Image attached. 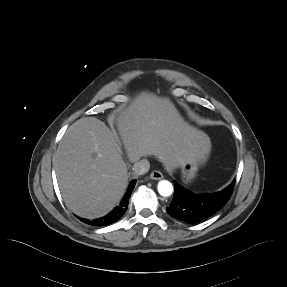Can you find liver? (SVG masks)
<instances>
[{
	"label": "liver",
	"instance_id": "obj_1",
	"mask_svg": "<svg viewBox=\"0 0 287 287\" xmlns=\"http://www.w3.org/2000/svg\"><path fill=\"white\" fill-rule=\"evenodd\" d=\"M120 135L104 122L85 117L74 122L61 139L54 165L66 206L75 214L94 219L110 212L128 184L130 162L156 156L172 171L191 156L204 163L210 138L184 121L167 98L142 93L116 118Z\"/></svg>",
	"mask_w": 287,
	"mask_h": 287
}]
</instances>
